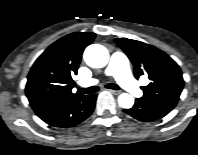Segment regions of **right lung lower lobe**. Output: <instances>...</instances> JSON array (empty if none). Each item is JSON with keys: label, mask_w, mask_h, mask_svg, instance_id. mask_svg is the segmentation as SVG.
Masks as SVG:
<instances>
[{"label": "right lung lower lobe", "mask_w": 198, "mask_h": 155, "mask_svg": "<svg viewBox=\"0 0 198 155\" xmlns=\"http://www.w3.org/2000/svg\"><path fill=\"white\" fill-rule=\"evenodd\" d=\"M97 95L85 96L83 94L58 102L35 113L47 124L55 127L75 126L87 119L94 110Z\"/></svg>", "instance_id": "obj_1"}]
</instances>
